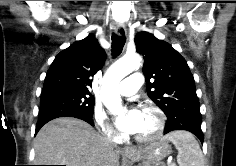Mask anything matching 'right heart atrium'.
I'll list each match as a JSON object with an SVG mask.
<instances>
[{
    "label": "right heart atrium",
    "instance_id": "d8ad5b80",
    "mask_svg": "<svg viewBox=\"0 0 236 166\" xmlns=\"http://www.w3.org/2000/svg\"><path fill=\"white\" fill-rule=\"evenodd\" d=\"M93 120L98 127L99 131L108 139L110 140H118L119 136L116 133V131L113 129V127L110 125L107 115L105 111L100 108L96 107L93 110L92 114Z\"/></svg>",
    "mask_w": 236,
    "mask_h": 166
}]
</instances>
